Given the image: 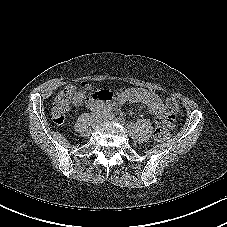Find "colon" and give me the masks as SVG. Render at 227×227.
<instances>
[{
    "mask_svg": "<svg viewBox=\"0 0 227 227\" xmlns=\"http://www.w3.org/2000/svg\"><path fill=\"white\" fill-rule=\"evenodd\" d=\"M81 87L86 88L87 84L82 83ZM78 88L74 85H68L63 90H61L56 96L52 107H51V117L55 124L61 125L64 123L66 118V113L68 111L70 102L77 92ZM167 118L170 122L177 117L180 112L179 103L174 98L167 99L165 103ZM169 135V131L166 126H159L154 132V138L157 141L165 140Z\"/></svg>",
    "mask_w": 227,
    "mask_h": 227,
    "instance_id": "5ec220e1",
    "label": "colon"
}]
</instances>
